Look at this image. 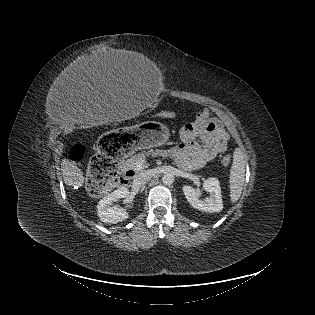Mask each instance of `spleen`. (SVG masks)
<instances>
[{
    "label": "spleen",
    "mask_w": 315,
    "mask_h": 315,
    "mask_svg": "<svg viewBox=\"0 0 315 315\" xmlns=\"http://www.w3.org/2000/svg\"><path fill=\"white\" fill-rule=\"evenodd\" d=\"M245 166L246 160L243 151L236 149L233 154V163L230 171V199L232 203H236L243 190L245 181Z\"/></svg>",
    "instance_id": "obj_1"
}]
</instances>
